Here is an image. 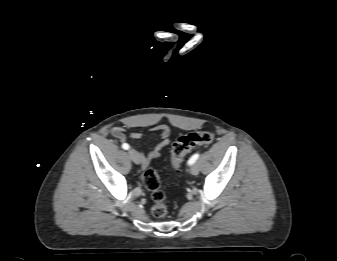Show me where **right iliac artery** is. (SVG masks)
<instances>
[{
	"instance_id": "right-iliac-artery-1",
	"label": "right iliac artery",
	"mask_w": 337,
	"mask_h": 261,
	"mask_svg": "<svg viewBox=\"0 0 337 261\" xmlns=\"http://www.w3.org/2000/svg\"><path fill=\"white\" fill-rule=\"evenodd\" d=\"M122 148L125 149V150H128L130 147H129V145L127 143H124L122 145Z\"/></svg>"
}]
</instances>
